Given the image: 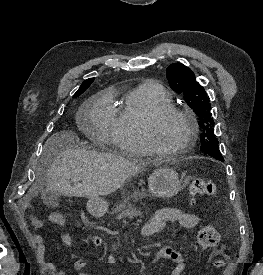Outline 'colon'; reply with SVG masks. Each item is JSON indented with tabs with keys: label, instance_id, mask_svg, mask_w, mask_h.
<instances>
[{
	"label": "colon",
	"instance_id": "colon-1",
	"mask_svg": "<svg viewBox=\"0 0 263 275\" xmlns=\"http://www.w3.org/2000/svg\"><path fill=\"white\" fill-rule=\"evenodd\" d=\"M190 196L192 200H196L201 197H214L217 193L215 184L205 178H196L190 184ZM54 223H61L64 219L59 213H55L51 216ZM219 241L218 232L212 227H206L199 231L197 235V242L203 248H210L215 246ZM226 258H217L213 261L212 265L215 268H222L226 265Z\"/></svg>",
	"mask_w": 263,
	"mask_h": 275
}]
</instances>
